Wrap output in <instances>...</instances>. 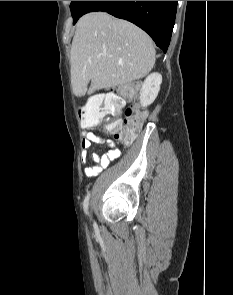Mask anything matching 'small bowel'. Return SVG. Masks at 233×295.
<instances>
[{"mask_svg": "<svg viewBox=\"0 0 233 295\" xmlns=\"http://www.w3.org/2000/svg\"><path fill=\"white\" fill-rule=\"evenodd\" d=\"M84 139L81 144V157L84 162L88 160V150L91 148L93 143H103L104 139L93 131H86ZM110 149L107 153L100 156L97 153H92L91 159L93 163L87 166L84 173L87 177H93L98 175L104 168H106L110 162L116 160L120 156V150L114 147L110 142Z\"/></svg>", "mask_w": 233, "mask_h": 295, "instance_id": "c3829d8e", "label": "small bowel"}]
</instances>
